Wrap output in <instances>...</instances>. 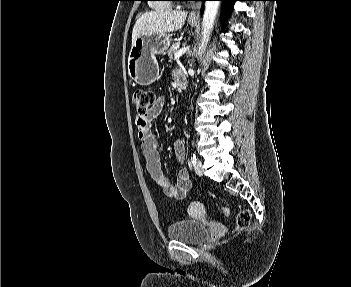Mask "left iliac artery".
<instances>
[{"mask_svg": "<svg viewBox=\"0 0 351 287\" xmlns=\"http://www.w3.org/2000/svg\"><path fill=\"white\" fill-rule=\"evenodd\" d=\"M197 159L195 154H191V163L194 165L196 163Z\"/></svg>", "mask_w": 351, "mask_h": 287, "instance_id": "44dca946", "label": "left iliac artery"}]
</instances>
